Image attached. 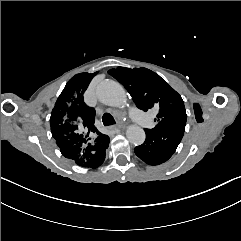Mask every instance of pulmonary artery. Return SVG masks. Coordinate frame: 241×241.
Wrapping results in <instances>:
<instances>
[{
    "instance_id": "1",
    "label": "pulmonary artery",
    "mask_w": 241,
    "mask_h": 241,
    "mask_svg": "<svg viewBox=\"0 0 241 241\" xmlns=\"http://www.w3.org/2000/svg\"><path fill=\"white\" fill-rule=\"evenodd\" d=\"M126 112L139 125H146L149 122V115L145 111H142L136 102H129L126 106Z\"/></svg>"
}]
</instances>
